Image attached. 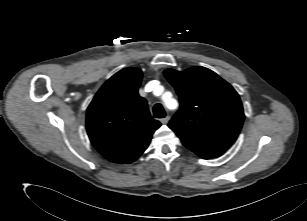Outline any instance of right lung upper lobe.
Returning <instances> with one entry per match:
<instances>
[{
    "label": "right lung upper lobe",
    "mask_w": 307,
    "mask_h": 221,
    "mask_svg": "<svg viewBox=\"0 0 307 221\" xmlns=\"http://www.w3.org/2000/svg\"><path fill=\"white\" fill-rule=\"evenodd\" d=\"M142 71L126 68L113 75L87 109L86 129L91 143L107 160L129 164L148 147L160 122L149 113L138 88Z\"/></svg>",
    "instance_id": "cb5924a9"
}]
</instances>
